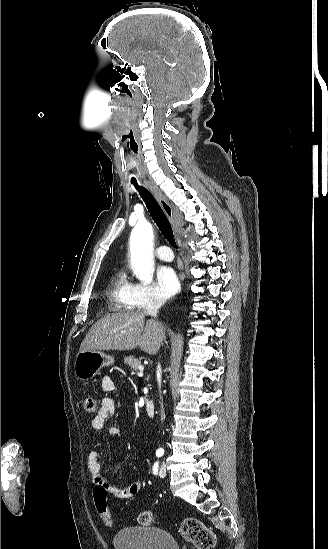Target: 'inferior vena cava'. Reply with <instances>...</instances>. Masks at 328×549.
Returning <instances> with one entry per match:
<instances>
[{"label": "inferior vena cava", "mask_w": 328, "mask_h": 549, "mask_svg": "<svg viewBox=\"0 0 328 549\" xmlns=\"http://www.w3.org/2000/svg\"><path fill=\"white\" fill-rule=\"evenodd\" d=\"M163 303L161 301V299H150V301H148V303H146L145 307H144V313L145 315H151V317H157L158 313H159V309L160 307H162ZM157 371L158 373H160V379H161V365H158L157 367ZM159 389H161V383H159ZM160 405H162V409H163V403H160ZM163 419H165V415L163 413L162 415V421Z\"/></svg>", "instance_id": "obj_1"}]
</instances>
